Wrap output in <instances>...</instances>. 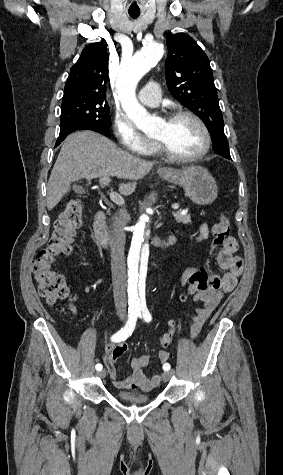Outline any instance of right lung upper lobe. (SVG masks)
Masks as SVG:
<instances>
[{
    "label": "right lung upper lobe",
    "mask_w": 283,
    "mask_h": 475,
    "mask_svg": "<svg viewBox=\"0 0 283 475\" xmlns=\"http://www.w3.org/2000/svg\"><path fill=\"white\" fill-rule=\"evenodd\" d=\"M107 66L104 42L88 45L70 69L64 96H106Z\"/></svg>",
    "instance_id": "right-lung-upper-lobe-1"
}]
</instances>
